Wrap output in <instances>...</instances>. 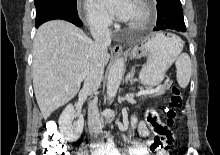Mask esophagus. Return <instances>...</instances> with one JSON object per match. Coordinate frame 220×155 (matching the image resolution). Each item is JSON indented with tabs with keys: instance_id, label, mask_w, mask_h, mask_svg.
Listing matches in <instances>:
<instances>
[{
	"instance_id": "obj_1",
	"label": "esophagus",
	"mask_w": 220,
	"mask_h": 155,
	"mask_svg": "<svg viewBox=\"0 0 220 155\" xmlns=\"http://www.w3.org/2000/svg\"><path fill=\"white\" fill-rule=\"evenodd\" d=\"M113 51L117 52V53L118 52H122L123 48H122V46L120 44H116V45L113 46Z\"/></svg>"
}]
</instances>
